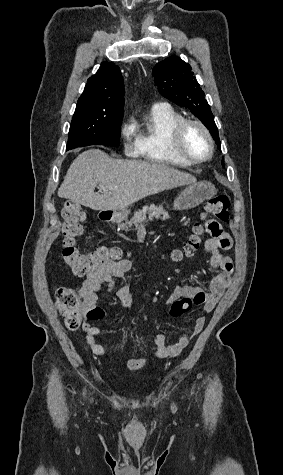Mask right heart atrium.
Segmentation results:
<instances>
[{"mask_svg":"<svg viewBox=\"0 0 283 475\" xmlns=\"http://www.w3.org/2000/svg\"><path fill=\"white\" fill-rule=\"evenodd\" d=\"M119 133L124 155L126 157H136L139 154V142L135 137L134 126L129 119H125L121 123Z\"/></svg>","mask_w":283,"mask_h":475,"instance_id":"1","label":"right heart atrium"}]
</instances>
